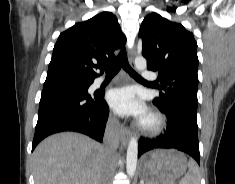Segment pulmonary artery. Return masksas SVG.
Wrapping results in <instances>:
<instances>
[{
	"mask_svg": "<svg viewBox=\"0 0 235 184\" xmlns=\"http://www.w3.org/2000/svg\"><path fill=\"white\" fill-rule=\"evenodd\" d=\"M143 73H146V70H143ZM146 75H147L149 78H153V74L150 73V72L147 73ZM104 82H105V79H104L103 77H100V78H98V79L95 81L94 86H95V87H98V86L102 85Z\"/></svg>",
	"mask_w": 235,
	"mask_h": 184,
	"instance_id": "e3ab8cb5",
	"label": "pulmonary artery"
}]
</instances>
